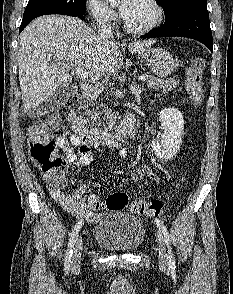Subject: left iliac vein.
Here are the masks:
<instances>
[{"instance_id": "left-iliac-vein-1", "label": "left iliac vein", "mask_w": 233, "mask_h": 294, "mask_svg": "<svg viewBox=\"0 0 233 294\" xmlns=\"http://www.w3.org/2000/svg\"><path fill=\"white\" fill-rule=\"evenodd\" d=\"M156 241L159 247V262L162 267H167L168 266V255L165 247V240L163 238V235L160 231H156Z\"/></svg>"}]
</instances>
